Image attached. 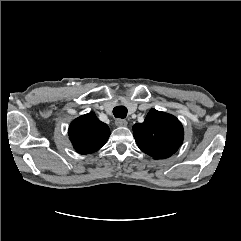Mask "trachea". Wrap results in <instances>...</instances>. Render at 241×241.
I'll list each match as a JSON object with an SVG mask.
<instances>
[{"mask_svg":"<svg viewBox=\"0 0 241 241\" xmlns=\"http://www.w3.org/2000/svg\"><path fill=\"white\" fill-rule=\"evenodd\" d=\"M113 114L116 118L124 119L127 116V108L125 106H116L113 109Z\"/></svg>","mask_w":241,"mask_h":241,"instance_id":"obj_1","label":"trachea"}]
</instances>
